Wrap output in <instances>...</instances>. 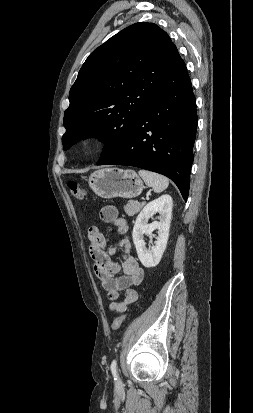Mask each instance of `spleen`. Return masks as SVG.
Segmentation results:
<instances>
[{"label": "spleen", "mask_w": 253, "mask_h": 413, "mask_svg": "<svg viewBox=\"0 0 253 413\" xmlns=\"http://www.w3.org/2000/svg\"><path fill=\"white\" fill-rule=\"evenodd\" d=\"M139 175L144 180L145 184L156 193L163 192L169 185V181L165 176L147 170H139Z\"/></svg>", "instance_id": "obj_1"}]
</instances>
